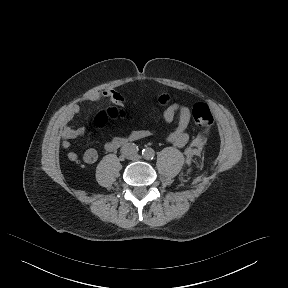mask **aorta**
<instances>
[{"instance_id": "1", "label": "aorta", "mask_w": 288, "mask_h": 288, "mask_svg": "<svg viewBox=\"0 0 288 288\" xmlns=\"http://www.w3.org/2000/svg\"><path fill=\"white\" fill-rule=\"evenodd\" d=\"M154 156V150L151 148H147L143 151V157L147 160L153 158Z\"/></svg>"}]
</instances>
